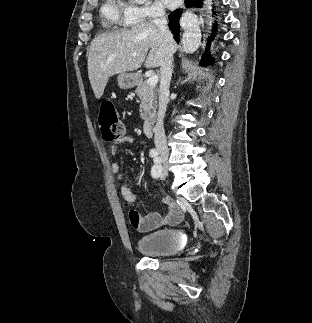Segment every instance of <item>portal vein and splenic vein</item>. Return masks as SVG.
I'll list each match as a JSON object with an SVG mask.
<instances>
[{
	"label": "portal vein and splenic vein",
	"mask_w": 312,
	"mask_h": 323,
	"mask_svg": "<svg viewBox=\"0 0 312 323\" xmlns=\"http://www.w3.org/2000/svg\"><path fill=\"white\" fill-rule=\"evenodd\" d=\"M133 56H136V54H133ZM157 82H158L157 76H150L148 80L149 86H156Z\"/></svg>",
	"instance_id": "obj_1"
}]
</instances>
